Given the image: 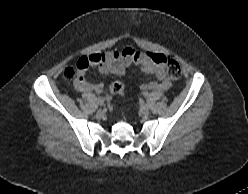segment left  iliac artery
I'll return each instance as SVG.
<instances>
[{"label":"left iliac artery","mask_w":248,"mask_h":194,"mask_svg":"<svg viewBox=\"0 0 248 194\" xmlns=\"http://www.w3.org/2000/svg\"><path fill=\"white\" fill-rule=\"evenodd\" d=\"M144 96H145V97H148V93H147V92H145V93H144Z\"/></svg>","instance_id":"1"}]
</instances>
